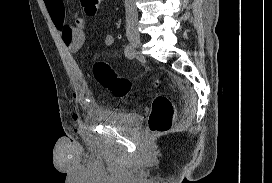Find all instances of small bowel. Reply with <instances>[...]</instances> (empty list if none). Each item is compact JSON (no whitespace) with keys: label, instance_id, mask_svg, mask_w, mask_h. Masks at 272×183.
Returning <instances> with one entry per match:
<instances>
[{"label":"small bowel","instance_id":"1","mask_svg":"<svg viewBox=\"0 0 272 183\" xmlns=\"http://www.w3.org/2000/svg\"><path fill=\"white\" fill-rule=\"evenodd\" d=\"M47 11L59 31L65 47L71 52L79 51L85 42V21L81 17H76L74 25H70L66 18L64 0H44ZM114 36L107 34L104 36L103 44L111 46L114 43ZM74 121L79 122L81 116L78 112L72 115Z\"/></svg>","mask_w":272,"mask_h":183}]
</instances>
